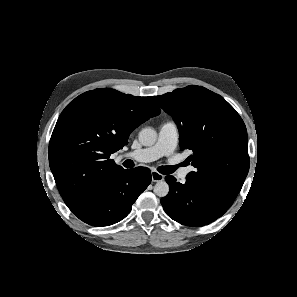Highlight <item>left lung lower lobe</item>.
Masks as SVG:
<instances>
[{"instance_id":"0a47b994","label":"left lung lower lobe","mask_w":297,"mask_h":297,"mask_svg":"<svg viewBox=\"0 0 297 297\" xmlns=\"http://www.w3.org/2000/svg\"><path fill=\"white\" fill-rule=\"evenodd\" d=\"M165 180L170 190L161 199V204L167 215L182 225H208L229 209L187 181L181 184L173 176H166Z\"/></svg>"}]
</instances>
